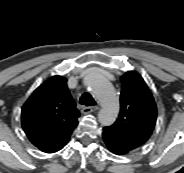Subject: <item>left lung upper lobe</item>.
<instances>
[{"label": "left lung upper lobe", "mask_w": 184, "mask_h": 173, "mask_svg": "<svg viewBox=\"0 0 184 173\" xmlns=\"http://www.w3.org/2000/svg\"><path fill=\"white\" fill-rule=\"evenodd\" d=\"M121 82L119 117L113 125L104 129L135 150L151 136L157 107L146 83L137 72L125 73Z\"/></svg>", "instance_id": "5c2ea615"}]
</instances>
